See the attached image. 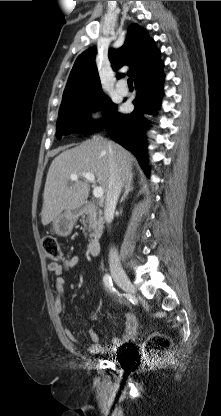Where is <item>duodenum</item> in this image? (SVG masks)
Returning <instances> with one entry per match:
<instances>
[{"label": "duodenum", "mask_w": 221, "mask_h": 416, "mask_svg": "<svg viewBox=\"0 0 221 416\" xmlns=\"http://www.w3.org/2000/svg\"><path fill=\"white\" fill-rule=\"evenodd\" d=\"M94 205L90 202H85L81 205H78L77 207H75L72 211L71 214L72 215H78L81 213L82 210L84 209H90L93 208ZM100 247H101V238L100 237H93L90 242L87 245V253L91 256H97L99 254L100 251Z\"/></svg>", "instance_id": "1"}]
</instances>
